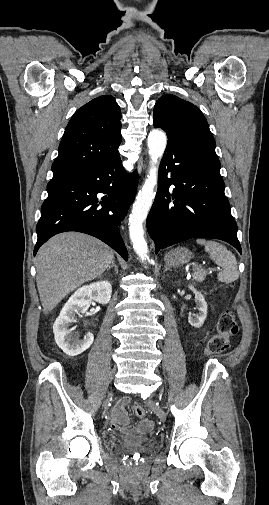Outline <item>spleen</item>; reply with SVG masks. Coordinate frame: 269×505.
Wrapping results in <instances>:
<instances>
[{"mask_svg": "<svg viewBox=\"0 0 269 505\" xmlns=\"http://www.w3.org/2000/svg\"><path fill=\"white\" fill-rule=\"evenodd\" d=\"M196 242L205 247L209 257L223 270L218 273L217 278L224 283H231L239 278L237 260L235 255L224 245L205 239H197Z\"/></svg>", "mask_w": 269, "mask_h": 505, "instance_id": "3e777b00", "label": "spleen"}]
</instances>
